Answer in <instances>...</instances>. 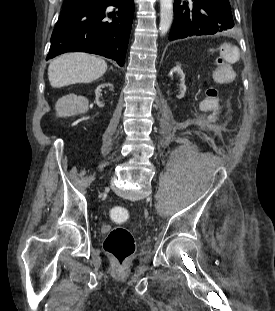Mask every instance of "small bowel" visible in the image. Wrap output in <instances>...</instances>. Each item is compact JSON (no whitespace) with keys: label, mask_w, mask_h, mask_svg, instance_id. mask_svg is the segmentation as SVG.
Instances as JSON below:
<instances>
[{"label":"small bowel","mask_w":275,"mask_h":311,"mask_svg":"<svg viewBox=\"0 0 275 311\" xmlns=\"http://www.w3.org/2000/svg\"><path fill=\"white\" fill-rule=\"evenodd\" d=\"M218 51L220 55L214 57L213 73L208 74V80L202 82L204 91L201 92V97L203 101L198 102L199 111L203 112L204 116H210V121L214 120L213 116H220V112H222L220 96H218L219 87H226L227 83L234 80L233 62L241 61V52L238 46L226 43L224 46H219Z\"/></svg>","instance_id":"small-bowel-1"}]
</instances>
